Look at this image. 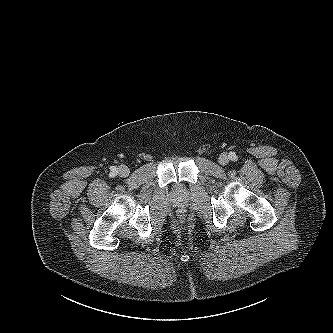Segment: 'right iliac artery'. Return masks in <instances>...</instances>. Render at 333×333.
Instances as JSON below:
<instances>
[{"label":"right iliac artery","mask_w":333,"mask_h":333,"mask_svg":"<svg viewBox=\"0 0 333 333\" xmlns=\"http://www.w3.org/2000/svg\"><path fill=\"white\" fill-rule=\"evenodd\" d=\"M112 174L113 175L117 174V168L116 167L112 169Z\"/></svg>","instance_id":"1"}]
</instances>
